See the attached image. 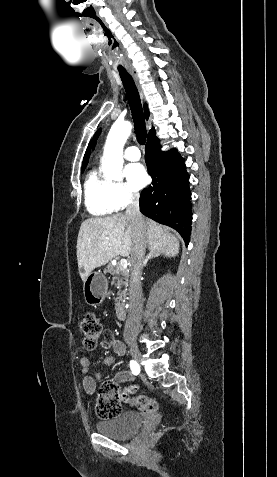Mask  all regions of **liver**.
Wrapping results in <instances>:
<instances>
[{"instance_id": "liver-1", "label": "liver", "mask_w": 277, "mask_h": 477, "mask_svg": "<svg viewBox=\"0 0 277 477\" xmlns=\"http://www.w3.org/2000/svg\"><path fill=\"white\" fill-rule=\"evenodd\" d=\"M144 219V218H143ZM146 243L150 251L167 257L179 253L178 238L169 229L144 219ZM133 251V230L126 214L89 218L82 222L77 238V261L83 281L95 269L113 258L129 256Z\"/></svg>"}]
</instances>
